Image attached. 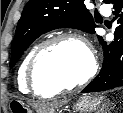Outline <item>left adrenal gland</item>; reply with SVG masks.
<instances>
[{"instance_id": "1", "label": "left adrenal gland", "mask_w": 123, "mask_h": 113, "mask_svg": "<svg viewBox=\"0 0 123 113\" xmlns=\"http://www.w3.org/2000/svg\"><path fill=\"white\" fill-rule=\"evenodd\" d=\"M100 111H101V113H107V109H104V107H102L101 109H100Z\"/></svg>"}]
</instances>
